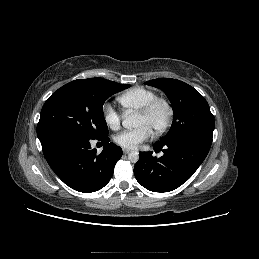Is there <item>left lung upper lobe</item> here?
<instances>
[{
    "mask_svg": "<svg viewBox=\"0 0 259 259\" xmlns=\"http://www.w3.org/2000/svg\"><path fill=\"white\" fill-rule=\"evenodd\" d=\"M162 89L173 109V123L169 132L158 142L179 137H200L212 142L214 117L205 98L192 86L171 78H159L146 82Z\"/></svg>",
    "mask_w": 259,
    "mask_h": 259,
    "instance_id": "obj_1",
    "label": "left lung upper lobe"
}]
</instances>
